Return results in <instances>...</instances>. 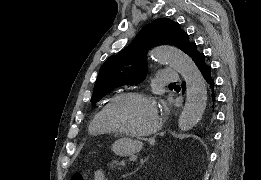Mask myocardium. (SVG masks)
Returning <instances> with one entry per match:
<instances>
[{"label": "myocardium", "instance_id": "f54148a6", "mask_svg": "<svg viewBox=\"0 0 261 180\" xmlns=\"http://www.w3.org/2000/svg\"><path fill=\"white\" fill-rule=\"evenodd\" d=\"M131 97H138V98H145L154 101L157 104V114H156V121L154 123L153 128L146 134L142 135H129L119 132L115 126L112 124L108 117V110L118 103L120 100L125 98ZM102 119L104 122L105 127L108 131L115 136L116 138H125L130 140H150L155 137L158 132L160 131L163 120H164V111L161 105L160 100L152 93L143 90H131V91H124L121 93L116 94L113 96L105 105L102 110Z\"/></svg>", "mask_w": 261, "mask_h": 180}]
</instances>
